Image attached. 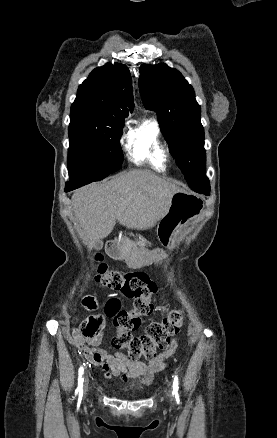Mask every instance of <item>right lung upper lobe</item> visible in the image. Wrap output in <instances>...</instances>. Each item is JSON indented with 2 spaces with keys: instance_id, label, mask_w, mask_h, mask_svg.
Listing matches in <instances>:
<instances>
[{
  "instance_id": "right-lung-upper-lobe-1",
  "label": "right lung upper lobe",
  "mask_w": 277,
  "mask_h": 438,
  "mask_svg": "<svg viewBox=\"0 0 277 438\" xmlns=\"http://www.w3.org/2000/svg\"><path fill=\"white\" fill-rule=\"evenodd\" d=\"M134 108L132 84L126 65L107 63L94 69L79 86L70 121L112 124L125 121Z\"/></svg>"
}]
</instances>
